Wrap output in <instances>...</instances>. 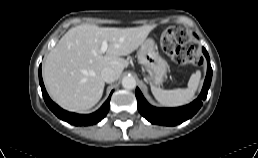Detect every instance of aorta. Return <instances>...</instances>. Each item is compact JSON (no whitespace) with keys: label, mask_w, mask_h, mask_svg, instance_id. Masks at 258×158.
Listing matches in <instances>:
<instances>
[{"label":"aorta","mask_w":258,"mask_h":158,"mask_svg":"<svg viewBox=\"0 0 258 158\" xmlns=\"http://www.w3.org/2000/svg\"><path fill=\"white\" fill-rule=\"evenodd\" d=\"M122 86L125 89H134L136 87V80L132 76H125L122 79Z\"/></svg>","instance_id":"aorta-1"}]
</instances>
